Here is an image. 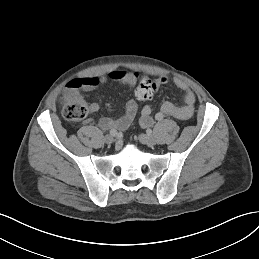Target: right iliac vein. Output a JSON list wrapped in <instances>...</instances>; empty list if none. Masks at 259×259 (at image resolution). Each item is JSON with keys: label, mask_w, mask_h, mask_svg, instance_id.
Returning <instances> with one entry per match:
<instances>
[{"label": "right iliac vein", "mask_w": 259, "mask_h": 259, "mask_svg": "<svg viewBox=\"0 0 259 259\" xmlns=\"http://www.w3.org/2000/svg\"><path fill=\"white\" fill-rule=\"evenodd\" d=\"M104 141L107 143V144H111L113 141H114V138L112 135H106L105 138H104Z\"/></svg>", "instance_id": "1"}]
</instances>
